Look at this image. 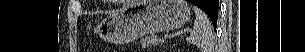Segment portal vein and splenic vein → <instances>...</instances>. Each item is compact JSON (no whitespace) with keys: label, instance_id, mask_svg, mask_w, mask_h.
<instances>
[{"label":"portal vein and splenic vein","instance_id":"obj_1","mask_svg":"<svg viewBox=\"0 0 305 52\" xmlns=\"http://www.w3.org/2000/svg\"><path fill=\"white\" fill-rule=\"evenodd\" d=\"M185 32H192V29H186Z\"/></svg>","mask_w":305,"mask_h":52}]
</instances>
